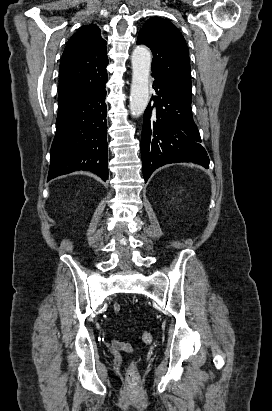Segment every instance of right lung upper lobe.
<instances>
[{
  "label": "right lung upper lobe",
  "mask_w": 272,
  "mask_h": 411,
  "mask_svg": "<svg viewBox=\"0 0 272 411\" xmlns=\"http://www.w3.org/2000/svg\"><path fill=\"white\" fill-rule=\"evenodd\" d=\"M106 44L95 24L82 27L70 38L59 67L58 103L92 90L107 80Z\"/></svg>",
  "instance_id": "1"
}]
</instances>
